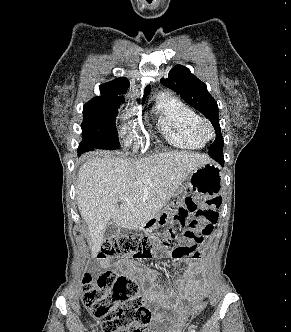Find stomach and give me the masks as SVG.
I'll use <instances>...</instances> for the list:
<instances>
[{"mask_svg": "<svg viewBox=\"0 0 291 332\" xmlns=\"http://www.w3.org/2000/svg\"><path fill=\"white\" fill-rule=\"evenodd\" d=\"M222 184L223 175L221 170L214 163L210 162L199 166L189 174L187 188L201 199H210L221 193ZM181 193L182 189L177 190L174 193L175 200L142 227L154 229L160 225H165L174 209L185 207V202L180 197Z\"/></svg>", "mask_w": 291, "mask_h": 332, "instance_id": "stomach-1", "label": "stomach"}]
</instances>
